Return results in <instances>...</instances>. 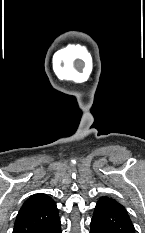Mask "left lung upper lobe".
I'll use <instances>...</instances> for the list:
<instances>
[{
    "mask_svg": "<svg viewBox=\"0 0 145 233\" xmlns=\"http://www.w3.org/2000/svg\"><path fill=\"white\" fill-rule=\"evenodd\" d=\"M92 220L108 233H135L134 225L122 204L111 197H101Z\"/></svg>",
    "mask_w": 145,
    "mask_h": 233,
    "instance_id": "5c2ea615",
    "label": "left lung upper lobe"
}]
</instances>
